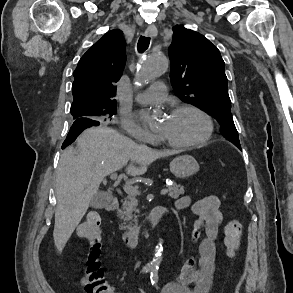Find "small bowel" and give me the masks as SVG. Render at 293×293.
<instances>
[{
	"label": "small bowel",
	"instance_id": "c3829d8e",
	"mask_svg": "<svg viewBox=\"0 0 293 293\" xmlns=\"http://www.w3.org/2000/svg\"><path fill=\"white\" fill-rule=\"evenodd\" d=\"M174 209H189L194 216L191 240L197 246V257L188 259L176 279L168 283L163 293H209L216 267V239L223 223L220 200L208 195L192 203L190 196H183Z\"/></svg>",
	"mask_w": 293,
	"mask_h": 293
}]
</instances>
